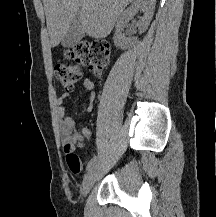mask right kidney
Instances as JSON below:
<instances>
[{"instance_id":"right-kidney-1","label":"right kidney","mask_w":216,"mask_h":217,"mask_svg":"<svg viewBox=\"0 0 216 217\" xmlns=\"http://www.w3.org/2000/svg\"><path fill=\"white\" fill-rule=\"evenodd\" d=\"M155 4L156 0H135L130 7L122 13L114 33V44L116 47L127 49L136 43L137 38H127L121 34V31L126 27L128 21L136 15L138 10H140L143 13V16L139 17L137 26L140 33L145 32L152 20Z\"/></svg>"}]
</instances>
